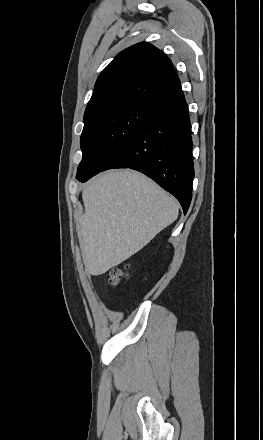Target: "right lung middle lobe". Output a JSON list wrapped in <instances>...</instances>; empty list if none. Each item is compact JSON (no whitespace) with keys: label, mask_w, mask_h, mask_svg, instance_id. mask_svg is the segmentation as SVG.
<instances>
[{"label":"right lung middle lobe","mask_w":263,"mask_h":440,"mask_svg":"<svg viewBox=\"0 0 263 440\" xmlns=\"http://www.w3.org/2000/svg\"><path fill=\"white\" fill-rule=\"evenodd\" d=\"M153 108L145 103L126 104L84 120L80 139L83 157L76 178L88 180L101 172L113 154L139 131Z\"/></svg>","instance_id":"obj_1"}]
</instances>
